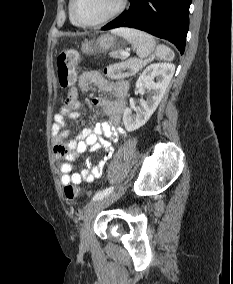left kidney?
<instances>
[{
  "label": "left kidney",
  "mask_w": 233,
  "mask_h": 284,
  "mask_svg": "<svg viewBox=\"0 0 233 284\" xmlns=\"http://www.w3.org/2000/svg\"><path fill=\"white\" fill-rule=\"evenodd\" d=\"M174 71L175 65L172 63H154L142 72L136 82V89L144 88L149 95L146 100H140L139 106L135 109L136 114L132 113L131 108L125 109L123 123L127 131L140 128L150 119L161 102Z\"/></svg>",
  "instance_id": "left-kidney-1"
}]
</instances>
